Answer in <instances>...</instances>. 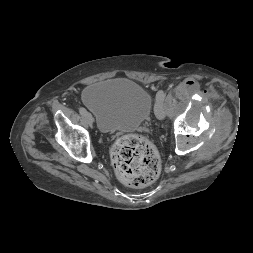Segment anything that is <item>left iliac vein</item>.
Returning a JSON list of instances; mask_svg holds the SVG:
<instances>
[{
    "instance_id": "1",
    "label": "left iliac vein",
    "mask_w": 253,
    "mask_h": 253,
    "mask_svg": "<svg viewBox=\"0 0 253 253\" xmlns=\"http://www.w3.org/2000/svg\"><path fill=\"white\" fill-rule=\"evenodd\" d=\"M154 113L159 120H163L165 117V108L161 101H157L154 106Z\"/></svg>"
}]
</instances>
